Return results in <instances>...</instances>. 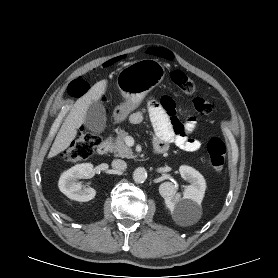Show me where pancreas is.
<instances>
[{"instance_id": "cf45deb5", "label": "pancreas", "mask_w": 278, "mask_h": 278, "mask_svg": "<svg viewBox=\"0 0 278 278\" xmlns=\"http://www.w3.org/2000/svg\"><path fill=\"white\" fill-rule=\"evenodd\" d=\"M117 135L118 136L115 140L112 149L115 156L122 158H133L134 155L132 149L125 144V138L128 135V133L124 130H119Z\"/></svg>"}]
</instances>
